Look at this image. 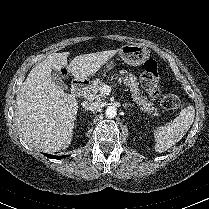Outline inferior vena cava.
Masks as SVG:
<instances>
[{
    "instance_id": "602c4592",
    "label": "inferior vena cava",
    "mask_w": 209,
    "mask_h": 209,
    "mask_svg": "<svg viewBox=\"0 0 209 209\" xmlns=\"http://www.w3.org/2000/svg\"><path fill=\"white\" fill-rule=\"evenodd\" d=\"M83 108H85L86 110H90V111H97L100 109L101 105L98 102H89V101H84L82 103Z\"/></svg>"
}]
</instances>
